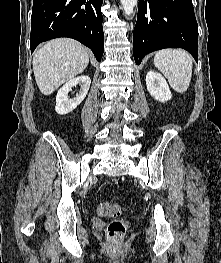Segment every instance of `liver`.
<instances>
[{"label": "liver", "mask_w": 221, "mask_h": 263, "mask_svg": "<svg viewBox=\"0 0 221 263\" xmlns=\"http://www.w3.org/2000/svg\"><path fill=\"white\" fill-rule=\"evenodd\" d=\"M85 47L68 38L53 39L33 56V72L40 92L50 95L65 82L82 73L88 66Z\"/></svg>", "instance_id": "1"}]
</instances>
